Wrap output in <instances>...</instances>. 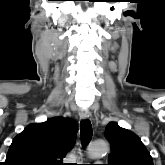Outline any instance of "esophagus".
Returning a JSON list of instances; mask_svg holds the SVG:
<instances>
[{"mask_svg":"<svg viewBox=\"0 0 165 165\" xmlns=\"http://www.w3.org/2000/svg\"><path fill=\"white\" fill-rule=\"evenodd\" d=\"M79 116L83 120L91 119V114L87 110H83V109L79 110Z\"/></svg>","mask_w":165,"mask_h":165,"instance_id":"obj_1","label":"esophagus"}]
</instances>
